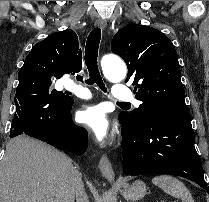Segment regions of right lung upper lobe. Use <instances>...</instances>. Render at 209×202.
<instances>
[{
    "instance_id": "cb5924a9",
    "label": "right lung upper lobe",
    "mask_w": 209,
    "mask_h": 202,
    "mask_svg": "<svg viewBox=\"0 0 209 202\" xmlns=\"http://www.w3.org/2000/svg\"><path fill=\"white\" fill-rule=\"evenodd\" d=\"M78 48V37L73 30L52 33L33 46L18 76L46 75L58 79L64 74L80 72L82 52Z\"/></svg>"
}]
</instances>
